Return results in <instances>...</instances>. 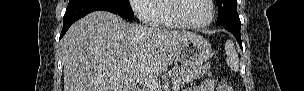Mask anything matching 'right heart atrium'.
<instances>
[{
  "instance_id": "right-heart-atrium-1",
  "label": "right heart atrium",
  "mask_w": 304,
  "mask_h": 91,
  "mask_svg": "<svg viewBox=\"0 0 304 91\" xmlns=\"http://www.w3.org/2000/svg\"><path fill=\"white\" fill-rule=\"evenodd\" d=\"M157 0H132L131 7L138 19L144 23H156L158 16L154 9Z\"/></svg>"
}]
</instances>
